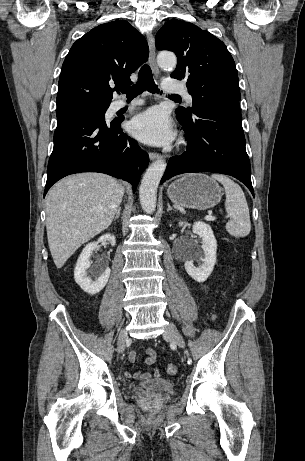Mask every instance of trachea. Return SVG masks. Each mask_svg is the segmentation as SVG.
<instances>
[{
  "label": "trachea",
  "instance_id": "3493384b",
  "mask_svg": "<svg viewBox=\"0 0 305 461\" xmlns=\"http://www.w3.org/2000/svg\"><path fill=\"white\" fill-rule=\"evenodd\" d=\"M119 90L126 94L127 99H133L145 90L151 93H159V89L152 77V71L147 64L141 67L138 74V81L135 85L121 86ZM170 97L181 99L179 95H171Z\"/></svg>",
  "mask_w": 305,
  "mask_h": 461
}]
</instances>
